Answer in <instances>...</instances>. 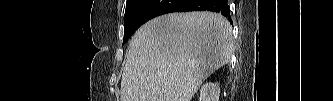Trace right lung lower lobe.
<instances>
[{"label": "right lung lower lobe", "mask_w": 333, "mask_h": 101, "mask_svg": "<svg viewBox=\"0 0 333 101\" xmlns=\"http://www.w3.org/2000/svg\"><path fill=\"white\" fill-rule=\"evenodd\" d=\"M218 12L232 23L227 0H146L139 9L133 27L135 31L148 20L171 12Z\"/></svg>", "instance_id": "98d812e1"}]
</instances>
